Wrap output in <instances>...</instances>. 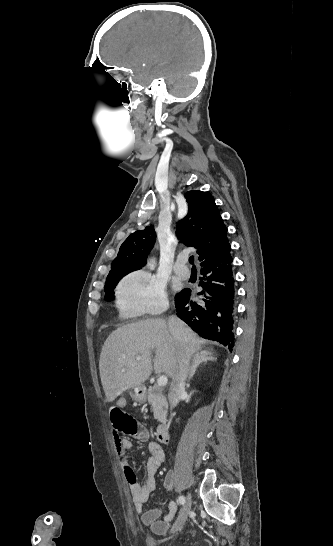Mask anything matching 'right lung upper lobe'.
I'll return each mask as SVG.
<instances>
[{"instance_id": "obj_1", "label": "right lung upper lobe", "mask_w": 333, "mask_h": 546, "mask_svg": "<svg viewBox=\"0 0 333 546\" xmlns=\"http://www.w3.org/2000/svg\"><path fill=\"white\" fill-rule=\"evenodd\" d=\"M185 198L188 214L178 222V237L185 245L198 249L199 261L207 263L228 245L227 228L210 194L193 190ZM155 240L153 226L132 233L122 243L109 273L140 269L146 264Z\"/></svg>"}]
</instances>
